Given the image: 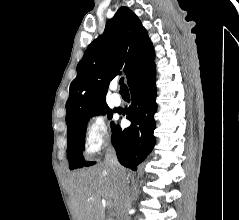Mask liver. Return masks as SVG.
Here are the masks:
<instances>
[{
    "label": "liver",
    "mask_w": 239,
    "mask_h": 220,
    "mask_svg": "<svg viewBox=\"0 0 239 220\" xmlns=\"http://www.w3.org/2000/svg\"><path fill=\"white\" fill-rule=\"evenodd\" d=\"M123 171L125 175L124 168ZM68 191L76 220H105L103 201L120 213L118 178L105 162L74 173L68 181Z\"/></svg>",
    "instance_id": "liver-1"
}]
</instances>
